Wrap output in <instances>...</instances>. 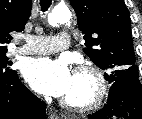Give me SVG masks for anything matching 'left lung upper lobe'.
Returning a JSON list of instances; mask_svg holds the SVG:
<instances>
[{
	"label": "left lung upper lobe",
	"instance_id": "1",
	"mask_svg": "<svg viewBox=\"0 0 142 119\" xmlns=\"http://www.w3.org/2000/svg\"><path fill=\"white\" fill-rule=\"evenodd\" d=\"M84 33L83 51L109 82L137 76L130 14L123 0H70Z\"/></svg>",
	"mask_w": 142,
	"mask_h": 119
}]
</instances>
